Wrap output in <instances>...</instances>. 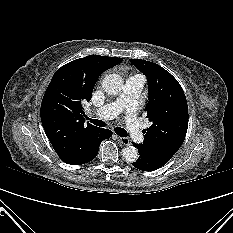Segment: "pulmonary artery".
<instances>
[{
	"label": "pulmonary artery",
	"instance_id": "obj_1",
	"mask_svg": "<svg viewBox=\"0 0 233 233\" xmlns=\"http://www.w3.org/2000/svg\"><path fill=\"white\" fill-rule=\"evenodd\" d=\"M145 83L144 76L140 74L129 76L118 98L97 109L95 114L101 119H112L122 110L126 111V126L132 139L140 143L143 141L140 124L137 120L136 112L138 109L139 96Z\"/></svg>",
	"mask_w": 233,
	"mask_h": 233
}]
</instances>
